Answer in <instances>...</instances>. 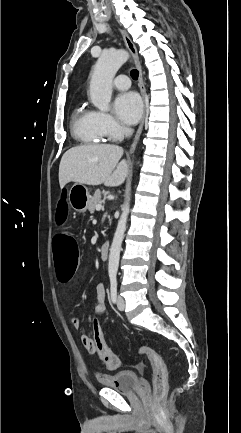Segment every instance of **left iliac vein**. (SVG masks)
<instances>
[{"mask_svg": "<svg viewBox=\"0 0 241 433\" xmlns=\"http://www.w3.org/2000/svg\"><path fill=\"white\" fill-rule=\"evenodd\" d=\"M117 307L121 311H123L125 308V300L122 296L117 297Z\"/></svg>", "mask_w": 241, "mask_h": 433, "instance_id": "1", "label": "left iliac vein"}]
</instances>
